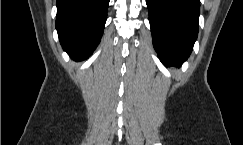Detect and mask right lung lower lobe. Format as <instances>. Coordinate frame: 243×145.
I'll use <instances>...</instances> for the list:
<instances>
[{
  "mask_svg": "<svg viewBox=\"0 0 243 145\" xmlns=\"http://www.w3.org/2000/svg\"><path fill=\"white\" fill-rule=\"evenodd\" d=\"M109 0H57L60 43L74 59L87 58L99 44Z\"/></svg>",
  "mask_w": 243,
  "mask_h": 145,
  "instance_id": "98d812e1",
  "label": "right lung lower lobe"
}]
</instances>
